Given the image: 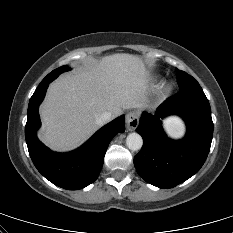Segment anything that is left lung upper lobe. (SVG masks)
<instances>
[{
    "mask_svg": "<svg viewBox=\"0 0 233 233\" xmlns=\"http://www.w3.org/2000/svg\"><path fill=\"white\" fill-rule=\"evenodd\" d=\"M176 74H177L178 85L181 91H185V90L201 91L202 90L199 83L189 74L179 69H176Z\"/></svg>",
    "mask_w": 233,
    "mask_h": 233,
    "instance_id": "1",
    "label": "left lung upper lobe"
}]
</instances>
